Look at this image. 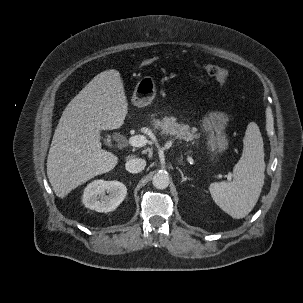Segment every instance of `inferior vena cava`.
Wrapping results in <instances>:
<instances>
[{"mask_svg":"<svg viewBox=\"0 0 303 303\" xmlns=\"http://www.w3.org/2000/svg\"><path fill=\"white\" fill-rule=\"evenodd\" d=\"M145 166L146 161L141 158H131L125 164L126 170L130 173H139L144 170Z\"/></svg>","mask_w":303,"mask_h":303,"instance_id":"obj_1","label":"inferior vena cava"}]
</instances>
